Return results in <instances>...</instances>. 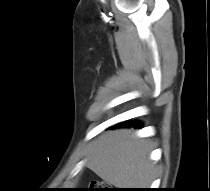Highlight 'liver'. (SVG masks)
<instances>
[{
  "mask_svg": "<svg viewBox=\"0 0 210 191\" xmlns=\"http://www.w3.org/2000/svg\"><path fill=\"white\" fill-rule=\"evenodd\" d=\"M150 151L147 140L135 138L127 129L115 130L95 141L86 165L117 188H145L154 174Z\"/></svg>",
  "mask_w": 210,
  "mask_h": 191,
  "instance_id": "liver-1",
  "label": "liver"
}]
</instances>
